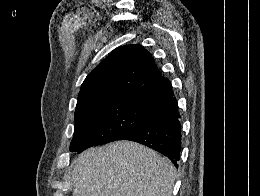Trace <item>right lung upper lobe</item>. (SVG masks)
<instances>
[{"label":"right lung upper lobe","instance_id":"obj_1","mask_svg":"<svg viewBox=\"0 0 260 196\" xmlns=\"http://www.w3.org/2000/svg\"><path fill=\"white\" fill-rule=\"evenodd\" d=\"M171 89L151 54L140 45L113 51L84 80L77 106L124 101L143 105Z\"/></svg>","mask_w":260,"mask_h":196}]
</instances>
